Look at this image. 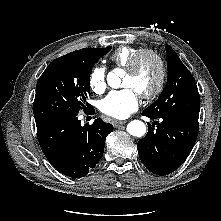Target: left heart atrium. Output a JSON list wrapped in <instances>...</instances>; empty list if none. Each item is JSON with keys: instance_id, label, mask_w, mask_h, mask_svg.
<instances>
[{"instance_id": "obj_1", "label": "left heart atrium", "mask_w": 221, "mask_h": 221, "mask_svg": "<svg viewBox=\"0 0 221 221\" xmlns=\"http://www.w3.org/2000/svg\"><path fill=\"white\" fill-rule=\"evenodd\" d=\"M139 106V94L131 87L111 91L99 103L102 113L116 119H125Z\"/></svg>"}]
</instances>
